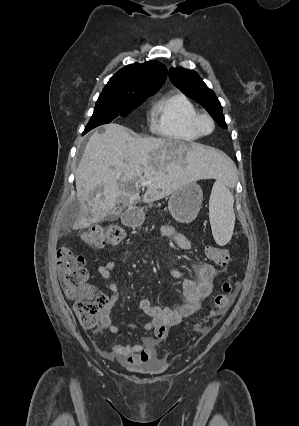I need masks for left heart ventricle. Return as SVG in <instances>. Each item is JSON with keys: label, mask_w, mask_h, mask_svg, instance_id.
<instances>
[{"label": "left heart ventricle", "mask_w": 299, "mask_h": 426, "mask_svg": "<svg viewBox=\"0 0 299 426\" xmlns=\"http://www.w3.org/2000/svg\"><path fill=\"white\" fill-rule=\"evenodd\" d=\"M201 126L204 131H209L211 129V124L207 120H203Z\"/></svg>", "instance_id": "left-heart-ventricle-1"}]
</instances>
